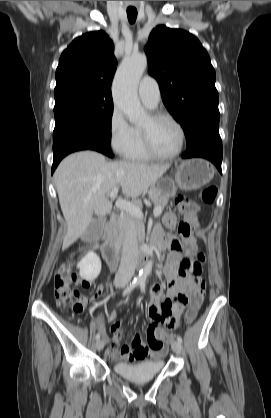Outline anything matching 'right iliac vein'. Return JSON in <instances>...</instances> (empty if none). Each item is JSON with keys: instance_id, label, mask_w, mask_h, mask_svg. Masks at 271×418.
Instances as JSON below:
<instances>
[{"instance_id": "right-iliac-vein-1", "label": "right iliac vein", "mask_w": 271, "mask_h": 418, "mask_svg": "<svg viewBox=\"0 0 271 418\" xmlns=\"http://www.w3.org/2000/svg\"><path fill=\"white\" fill-rule=\"evenodd\" d=\"M105 342L103 339H99L96 342V348L98 351H101L104 348Z\"/></svg>"}]
</instances>
